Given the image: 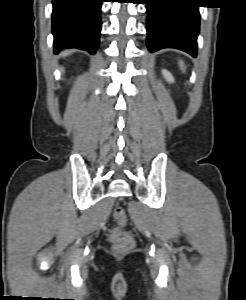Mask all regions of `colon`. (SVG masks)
Here are the masks:
<instances>
[{"label":"colon","instance_id":"1","mask_svg":"<svg viewBox=\"0 0 246 300\" xmlns=\"http://www.w3.org/2000/svg\"><path fill=\"white\" fill-rule=\"evenodd\" d=\"M113 217L117 223V227L110 231L109 239L115 250L122 252L133 246V238L129 232L122 229L126 224V215L122 207L117 206L113 210Z\"/></svg>","mask_w":246,"mask_h":300}]
</instances>
